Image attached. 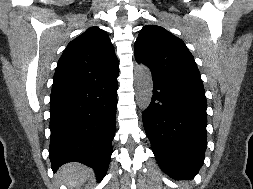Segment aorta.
I'll return each instance as SVG.
<instances>
[{"label":"aorta","mask_w":253,"mask_h":189,"mask_svg":"<svg viewBox=\"0 0 253 189\" xmlns=\"http://www.w3.org/2000/svg\"><path fill=\"white\" fill-rule=\"evenodd\" d=\"M136 102L141 110L150 105L153 93L151 71L145 65H137L134 70Z\"/></svg>","instance_id":"762f6f07"}]
</instances>
